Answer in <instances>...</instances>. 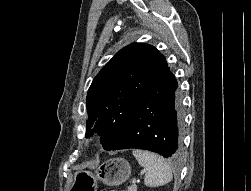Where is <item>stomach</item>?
<instances>
[{
    "mask_svg": "<svg viewBox=\"0 0 251 191\" xmlns=\"http://www.w3.org/2000/svg\"><path fill=\"white\" fill-rule=\"evenodd\" d=\"M131 165L124 157H111L103 161L95 173L92 171H75L72 191H97V179L107 185H120L128 179Z\"/></svg>",
    "mask_w": 251,
    "mask_h": 191,
    "instance_id": "stomach-1",
    "label": "stomach"
}]
</instances>
